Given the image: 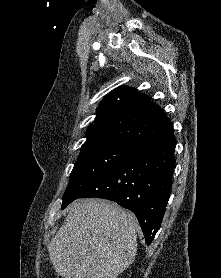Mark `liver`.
Segmentation results:
<instances>
[{
  "label": "liver",
  "mask_w": 221,
  "mask_h": 278,
  "mask_svg": "<svg viewBox=\"0 0 221 278\" xmlns=\"http://www.w3.org/2000/svg\"><path fill=\"white\" fill-rule=\"evenodd\" d=\"M136 217L101 199L74 202L48 246L55 271L64 278H116L137 252Z\"/></svg>",
  "instance_id": "obj_1"
}]
</instances>
